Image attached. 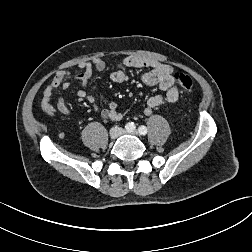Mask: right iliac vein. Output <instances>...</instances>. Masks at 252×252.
<instances>
[{
  "label": "right iliac vein",
  "mask_w": 252,
  "mask_h": 252,
  "mask_svg": "<svg viewBox=\"0 0 252 252\" xmlns=\"http://www.w3.org/2000/svg\"><path fill=\"white\" fill-rule=\"evenodd\" d=\"M123 133V130L120 127H112L109 131V135L112 139L118 138Z\"/></svg>",
  "instance_id": "right-iliac-vein-1"
}]
</instances>
